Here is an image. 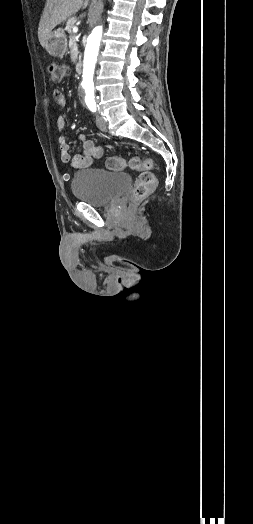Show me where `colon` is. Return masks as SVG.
Wrapping results in <instances>:
<instances>
[{
  "label": "colon",
  "mask_w": 253,
  "mask_h": 524,
  "mask_svg": "<svg viewBox=\"0 0 253 524\" xmlns=\"http://www.w3.org/2000/svg\"><path fill=\"white\" fill-rule=\"evenodd\" d=\"M68 66L60 62H51L48 65V72L53 82H60L68 73ZM106 166L113 171H121L126 164L121 157H111L107 160ZM130 168L137 171H142L136 185L132 192V203H138L144 199L157 185L156 176L148 170L152 168L153 161L151 159H141L134 157L129 163Z\"/></svg>",
  "instance_id": "colon-1"
}]
</instances>
